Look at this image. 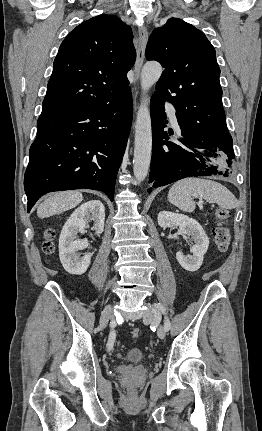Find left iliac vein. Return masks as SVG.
<instances>
[{
    "label": "left iliac vein",
    "instance_id": "1",
    "mask_svg": "<svg viewBox=\"0 0 262 431\" xmlns=\"http://www.w3.org/2000/svg\"><path fill=\"white\" fill-rule=\"evenodd\" d=\"M159 316V312H155L154 309L148 305V308L143 312V321L148 323H154L156 318ZM165 329L162 326L158 327L157 335L160 339L165 338Z\"/></svg>",
    "mask_w": 262,
    "mask_h": 431
}]
</instances>
